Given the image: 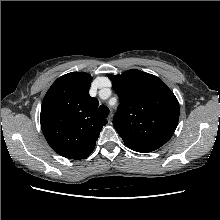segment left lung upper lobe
Segmentation results:
<instances>
[{
  "label": "left lung upper lobe",
  "instance_id": "obj_1",
  "mask_svg": "<svg viewBox=\"0 0 220 220\" xmlns=\"http://www.w3.org/2000/svg\"><path fill=\"white\" fill-rule=\"evenodd\" d=\"M121 104L113 125L136 152H151L173 135L180 108L173 92L157 77L139 70L108 75Z\"/></svg>",
  "mask_w": 220,
  "mask_h": 220
}]
</instances>
